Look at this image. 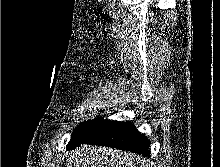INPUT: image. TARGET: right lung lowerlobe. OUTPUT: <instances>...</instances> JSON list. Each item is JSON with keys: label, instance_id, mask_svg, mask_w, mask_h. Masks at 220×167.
I'll return each instance as SVG.
<instances>
[{"label": "right lung lower lobe", "instance_id": "obj_1", "mask_svg": "<svg viewBox=\"0 0 220 167\" xmlns=\"http://www.w3.org/2000/svg\"><path fill=\"white\" fill-rule=\"evenodd\" d=\"M149 143L134 125L104 120L82 144L108 146L148 157Z\"/></svg>", "mask_w": 220, "mask_h": 167}]
</instances>
